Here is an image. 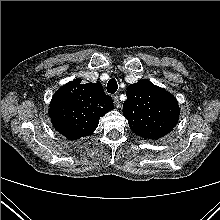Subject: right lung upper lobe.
<instances>
[{"label": "right lung upper lobe", "instance_id": "cb5924a9", "mask_svg": "<svg viewBox=\"0 0 220 220\" xmlns=\"http://www.w3.org/2000/svg\"><path fill=\"white\" fill-rule=\"evenodd\" d=\"M114 108L101 83L81 84L74 79L52 97L49 115L54 128L69 140L91 135L100 117Z\"/></svg>", "mask_w": 220, "mask_h": 220}]
</instances>
